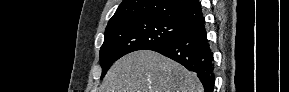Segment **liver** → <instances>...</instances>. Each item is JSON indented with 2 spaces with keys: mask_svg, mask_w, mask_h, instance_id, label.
Returning a JSON list of instances; mask_svg holds the SVG:
<instances>
[{
  "mask_svg": "<svg viewBox=\"0 0 289 92\" xmlns=\"http://www.w3.org/2000/svg\"><path fill=\"white\" fill-rule=\"evenodd\" d=\"M102 92H203L197 75L151 50L129 53L116 61Z\"/></svg>",
  "mask_w": 289,
  "mask_h": 92,
  "instance_id": "liver-1",
  "label": "liver"
}]
</instances>
